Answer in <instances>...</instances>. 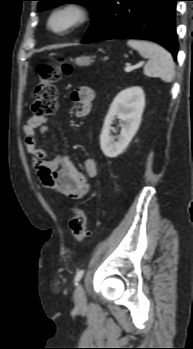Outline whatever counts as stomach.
<instances>
[{
    "mask_svg": "<svg viewBox=\"0 0 193 349\" xmlns=\"http://www.w3.org/2000/svg\"><path fill=\"white\" fill-rule=\"evenodd\" d=\"M75 63L79 66H88L91 63V59L87 56H80L75 59Z\"/></svg>",
    "mask_w": 193,
    "mask_h": 349,
    "instance_id": "obj_1",
    "label": "stomach"
}]
</instances>
